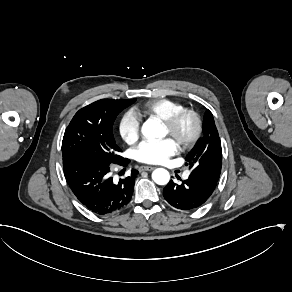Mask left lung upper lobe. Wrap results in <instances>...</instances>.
Instances as JSON below:
<instances>
[{"instance_id":"left-lung-upper-lobe-1","label":"left lung upper lobe","mask_w":292,"mask_h":292,"mask_svg":"<svg viewBox=\"0 0 292 292\" xmlns=\"http://www.w3.org/2000/svg\"><path fill=\"white\" fill-rule=\"evenodd\" d=\"M191 175L217 183L222 167V149L212 113L206 110L203 120V136L186 156Z\"/></svg>"}]
</instances>
